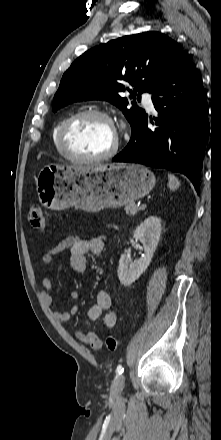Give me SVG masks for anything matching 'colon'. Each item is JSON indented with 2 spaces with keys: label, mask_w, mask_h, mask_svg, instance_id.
<instances>
[{
  "label": "colon",
  "mask_w": 221,
  "mask_h": 440,
  "mask_svg": "<svg viewBox=\"0 0 221 440\" xmlns=\"http://www.w3.org/2000/svg\"><path fill=\"white\" fill-rule=\"evenodd\" d=\"M29 221L33 228L43 230L46 227V220L42 211V208L38 205H33L29 210ZM118 340L109 335L105 338V347L109 351H116L118 349Z\"/></svg>",
  "instance_id": "1"
}]
</instances>
